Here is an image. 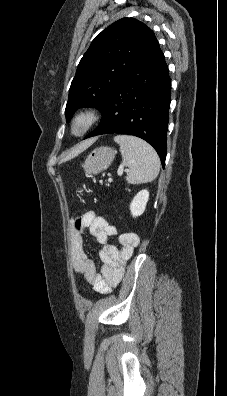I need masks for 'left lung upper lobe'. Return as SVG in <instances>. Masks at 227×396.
<instances>
[{
	"label": "left lung upper lobe",
	"instance_id": "5c2ea615",
	"mask_svg": "<svg viewBox=\"0 0 227 396\" xmlns=\"http://www.w3.org/2000/svg\"><path fill=\"white\" fill-rule=\"evenodd\" d=\"M158 41L134 18H122L95 37L80 60L65 109L69 121L80 107L102 109L110 95Z\"/></svg>",
	"mask_w": 227,
	"mask_h": 396
}]
</instances>
